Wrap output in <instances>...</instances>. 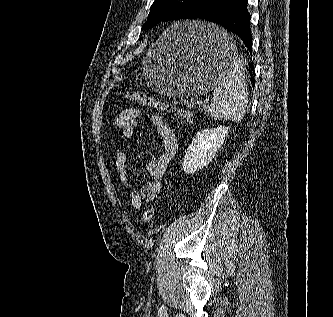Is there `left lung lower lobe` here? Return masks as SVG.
Wrapping results in <instances>:
<instances>
[{"label": "left lung lower lobe", "mask_w": 333, "mask_h": 317, "mask_svg": "<svg viewBox=\"0 0 333 317\" xmlns=\"http://www.w3.org/2000/svg\"><path fill=\"white\" fill-rule=\"evenodd\" d=\"M248 0H213L210 4L189 13L185 19L205 20L232 32L240 37L252 54L251 16L248 12ZM253 67L249 69L250 74ZM252 84L255 80L251 78Z\"/></svg>", "instance_id": "0a47b994"}]
</instances>
